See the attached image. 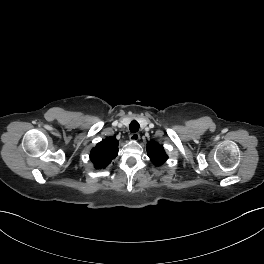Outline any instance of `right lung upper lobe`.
Instances as JSON below:
<instances>
[{
    "mask_svg": "<svg viewBox=\"0 0 264 264\" xmlns=\"http://www.w3.org/2000/svg\"><path fill=\"white\" fill-rule=\"evenodd\" d=\"M118 153V141L109 137L102 140L91 150L90 159L96 169L105 168L116 158Z\"/></svg>",
    "mask_w": 264,
    "mask_h": 264,
    "instance_id": "1",
    "label": "right lung upper lobe"
}]
</instances>
